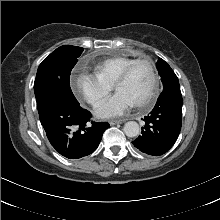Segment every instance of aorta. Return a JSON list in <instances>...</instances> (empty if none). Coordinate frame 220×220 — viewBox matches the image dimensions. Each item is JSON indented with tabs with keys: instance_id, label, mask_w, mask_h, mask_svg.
<instances>
[{
	"instance_id": "obj_1",
	"label": "aorta",
	"mask_w": 220,
	"mask_h": 220,
	"mask_svg": "<svg viewBox=\"0 0 220 220\" xmlns=\"http://www.w3.org/2000/svg\"><path fill=\"white\" fill-rule=\"evenodd\" d=\"M124 133L128 137H136L140 133L139 124L135 121H129L124 125Z\"/></svg>"
}]
</instances>
